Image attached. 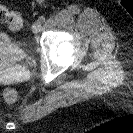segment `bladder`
Instances as JSON below:
<instances>
[{
    "instance_id": "obj_1",
    "label": "bladder",
    "mask_w": 133,
    "mask_h": 133,
    "mask_svg": "<svg viewBox=\"0 0 133 133\" xmlns=\"http://www.w3.org/2000/svg\"><path fill=\"white\" fill-rule=\"evenodd\" d=\"M28 57V50L8 32L0 30V63L22 62Z\"/></svg>"
}]
</instances>
